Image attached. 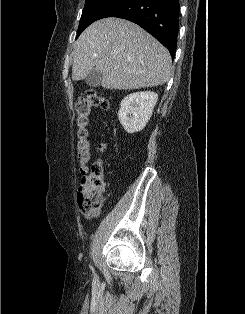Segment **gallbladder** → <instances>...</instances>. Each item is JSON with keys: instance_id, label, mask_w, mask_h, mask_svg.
Segmentation results:
<instances>
[{"instance_id": "bac80fb5", "label": "gallbladder", "mask_w": 245, "mask_h": 314, "mask_svg": "<svg viewBox=\"0 0 245 314\" xmlns=\"http://www.w3.org/2000/svg\"><path fill=\"white\" fill-rule=\"evenodd\" d=\"M102 80V74L96 69L93 68L85 78V81L90 87H98Z\"/></svg>"}]
</instances>
